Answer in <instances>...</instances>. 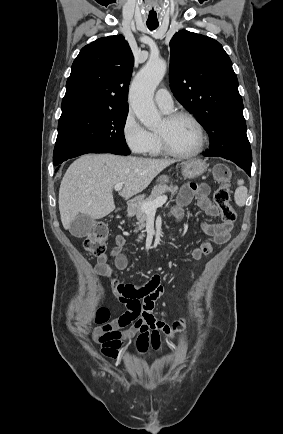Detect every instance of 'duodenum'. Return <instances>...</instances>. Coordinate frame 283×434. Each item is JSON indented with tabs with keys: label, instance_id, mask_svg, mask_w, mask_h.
I'll list each match as a JSON object with an SVG mask.
<instances>
[{
	"label": "duodenum",
	"instance_id": "410a0bca",
	"mask_svg": "<svg viewBox=\"0 0 283 434\" xmlns=\"http://www.w3.org/2000/svg\"><path fill=\"white\" fill-rule=\"evenodd\" d=\"M135 206H136V201H134V200L128 201L126 206H125L126 213L131 212Z\"/></svg>",
	"mask_w": 283,
	"mask_h": 434
}]
</instances>
